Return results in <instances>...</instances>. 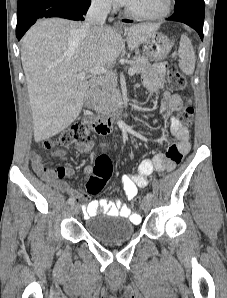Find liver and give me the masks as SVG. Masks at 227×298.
Wrapping results in <instances>:
<instances>
[{"label": "liver", "instance_id": "obj_1", "mask_svg": "<svg viewBox=\"0 0 227 298\" xmlns=\"http://www.w3.org/2000/svg\"><path fill=\"white\" fill-rule=\"evenodd\" d=\"M139 24L125 31L134 50L159 29ZM125 48L120 33L103 27L94 34L62 18L38 21L22 39L21 59L33 117L34 139L40 142L63 131L79 116L89 88L87 75L113 65ZM85 73L83 79L77 78Z\"/></svg>", "mask_w": 227, "mask_h": 298}]
</instances>
